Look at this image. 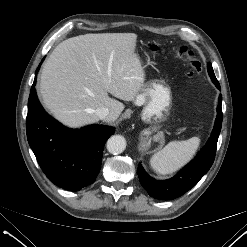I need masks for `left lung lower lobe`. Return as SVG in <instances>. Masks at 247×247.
Listing matches in <instances>:
<instances>
[{
  "instance_id": "obj_1",
  "label": "left lung lower lobe",
  "mask_w": 247,
  "mask_h": 247,
  "mask_svg": "<svg viewBox=\"0 0 247 247\" xmlns=\"http://www.w3.org/2000/svg\"><path fill=\"white\" fill-rule=\"evenodd\" d=\"M212 81L216 87L220 89L219 82L217 80ZM221 103L222 96L220 95L217 107V118L208 142L198 155L174 177L163 181L155 180L150 177L141 164H139V180L150 196L160 200L175 199L190 190L207 173L215 159L217 141L222 126L223 114Z\"/></svg>"
}]
</instances>
